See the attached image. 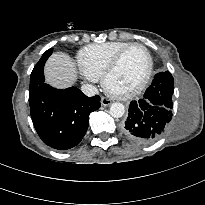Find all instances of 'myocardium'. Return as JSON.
Masks as SVG:
<instances>
[{"label":"myocardium","instance_id":"1","mask_svg":"<svg viewBox=\"0 0 205 205\" xmlns=\"http://www.w3.org/2000/svg\"><path fill=\"white\" fill-rule=\"evenodd\" d=\"M135 47H139L142 48L145 53L147 54L148 57V67L146 70V73L144 75V77L142 78V80L139 82L138 85H136L134 88L125 91V92H117L112 90L109 86H108V80L110 78V76L114 73V71L117 69V67L119 66L123 56L132 48ZM153 66H154V62H153V57L151 52L149 51V49L140 43H132L129 46L125 47L124 49H122L118 54H116V56L111 60V62L109 63V65L107 66V68L105 69L102 77H101V83H102V87L105 90L106 93H108L110 96L114 97V98H118V99H128L131 97L136 96L137 94H139L148 84L151 76H152V72H153Z\"/></svg>","mask_w":205,"mask_h":205}]
</instances>
